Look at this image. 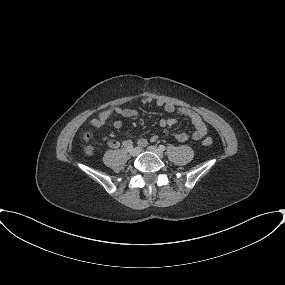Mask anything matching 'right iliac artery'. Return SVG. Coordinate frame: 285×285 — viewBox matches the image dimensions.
Instances as JSON below:
<instances>
[{
  "instance_id": "right-iliac-artery-1",
  "label": "right iliac artery",
  "mask_w": 285,
  "mask_h": 285,
  "mask_svg": "<svg viewBox=\"0 0 285 285\" xmlns=\"http://www.w3.org/2000/svg\"><path fill=\"white\" fill-rule=\"evenodd\" d=\"M126 148H127V150L130 152V151L133 149L132 143H131V144H128V145L126 146Z\"/></svg>"
}]
</instances>
